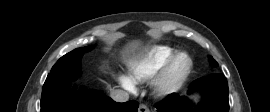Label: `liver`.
<instances>
[{
    "instance_id": "1",
    "label": "liver",
    "mask_w": 270,
    "mask_h": 112,
    "mask_svg": "<svg viewBox=\"0 0 270 112\" xmlns=\"http://www.w3.org/2000/svg\"><path fill=\"white\" fill-rule=\"evenodd\" d=\"M138 45H139V42H138V41L131 42V43L126 47L125 52H126V53L133 52L134 50L137 49Z\"/></svg>"
}]
</instances>
